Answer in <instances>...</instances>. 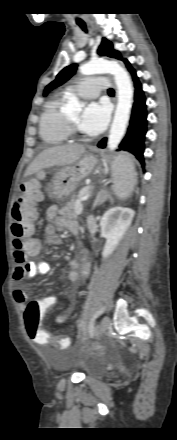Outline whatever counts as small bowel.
Here are the masks:
<instances>
[{
    "label": "small bowel",
    "mask_w": 177,
    "mask_h": 440,
    "mask_svg": "<svg viewBox=\"0 0 177 440\" xmlns=\"http://www.w3.org/2000/svg\"><path fill=\"white\" fill-rule=\"evenodd\" d=\"M57 212L58 207L56 205L49 206L45 212L46 219L51 222L44 227V239L47 245H59L62 242V238L57 232L58 229L73 230L74 228L78 227L75 221L67 219L65 217H60L58 216ZM31 241H34L37 245V249L34 253L36 254L39 251L40 244L33 239H31ZM80 257V270L76 269L79 266V263L76 260H72L69 262L71 270L68 273V280L73 284H76L81 279H85L89 273V263L87 261L86 250L84 248H81ZM15 259L17 262V267L13 272V279L17 284H20L25 278H33L38 275L47 274L51 269L50 264L46 261H26L16 256ZM13 298L19 306L23 308L25 307L27 302V294L25 291L20 288L15 289L13 292ZM45 298L57 297L51 295ZM66 319L67 316L60 317L57 319V322L62 323Z\"/></svg>",
    "instance_id": "1"
}]
</instances>
